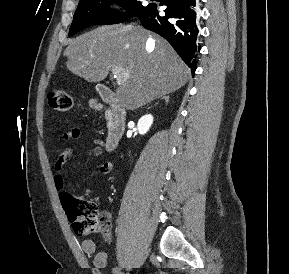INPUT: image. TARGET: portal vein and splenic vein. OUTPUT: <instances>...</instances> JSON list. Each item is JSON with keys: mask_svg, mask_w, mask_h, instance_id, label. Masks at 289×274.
Returning a JSON list of instances; mask_svg holds the SVG:
<instances>
[{"mask_svg": "<svg viewBox=\"0 0 289 274\" xmlns=\"http://www.w3.org/2000/svg\"><path fill=\"white\" fill-rule=\"evenodd\" d=\"M111 72L114 75V77L116 78V82L118 85L123 84L128 78V76L124 72V69L120 66L113 67L111 69Z\"/></svg>", "mask_w": 289, "mask_h": 274, "instance_id": "portal-vein-and-splenic-vein-1", "label": "portal vein and splenic vein"}]
</instances>
